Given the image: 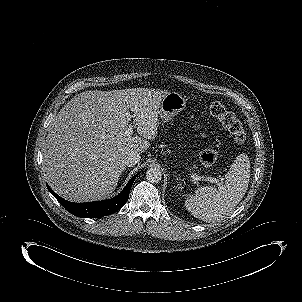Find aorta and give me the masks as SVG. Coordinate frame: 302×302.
<instances>
[{
	"label": "aorta",
	"instance_id": "obj_1",
	"mask_svg": "<svg viewBox=\"0 0 302 302\" xmlns=\"http://www.w3.org/2000/svg\"><path fill=\"white\" fill-rule=\"evenodd\" d=\"M146 179L151 183H158L162 179V172L157 167H151L146 171Z\"/></svg>",
	"mask_w": 302,
	"mask_h": 302
}]
</instances>
